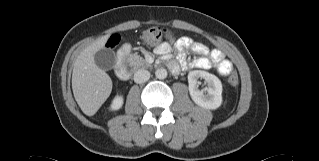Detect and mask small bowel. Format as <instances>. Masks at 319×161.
<instances>
[{
  "mask_svg": "<svg viewBox=\"0 0 319 161\" xmlns=\"http://www.w3.org/2000/svg\"><path fill=\"white\" fill-rule=\"evenodd\" d=\"M176 48L178 51L179 63H170V69L174 73H177L180 67L209 69L212 66H214L222 76H228L233 72V64L225 57L221 50H210L205 44L194 42L189 37L180 38L176 43ZM189 49L199 56L191 62H188L186 59V51ZM155 51L158 55H168L170 52V45L165 42L161 43L156 47Z\"/></svg>",
  "mask_w": 319,
  "mask_h": 161,
  "instance_id": "small-bowel-1",
  "label": "small bowel"
}]
</instances>
